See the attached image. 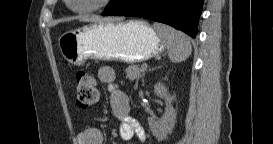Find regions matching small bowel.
Wrapping results in <instances>:
<instances>
[{"mask_svg": "<svg viewBox=\"0 0 273 144\" xmlns=\"http://www.w3.org/2000/svg\"><path fill=\"white\" fill-rule=\"evenodd\" d=\"M102 83L111 84L115 80V72L110 67H103L98 72ZM110 108L120 122L119 135L123 141H130L137 136L145 141V133L139 122L130 114L129 97L122 90L112 88L110 91ZM103 133L99 128L88 127L77 134L76 144H102Z\"/></svg>", "mask_w": 273, "mask_h": 144, "instance_id": "obj_1", "label": "small bowel"}]
</instances>
